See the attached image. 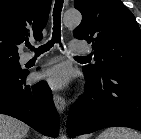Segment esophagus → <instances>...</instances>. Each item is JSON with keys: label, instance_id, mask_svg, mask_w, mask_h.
<instances>
[{"label": "esophagus", "instance_id": "34e87169", "mask_svg": "<svg viewBox=\"0 0 141 139\" xmlns=\"http://www.w3.org/2000/svg\"><path fill=\"white\" fill-rule=\"evenodd\" d=\"M53 99L58 113L63 114L66 107L65 99L57 93L54 94Z\"/></svg>", "mask_w": 141, "mask_h": 139}]
</instances>
